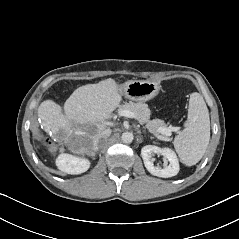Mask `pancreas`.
<instances>
[{
	"mask_svg": "<svg viewBox=\"0 0 239 239\" xmlns=\"http://www.w3.org/2000/svg\"><path fill=\"white\" fill-rule=\"evenodd\" d=\"M121 111L128 110L131 112H134L136 114V119L141 125H145V128L155 135L156 137L159 136L160 128H165L166 124L161 119H153L150 120L151 111L147 104L144 102H131V103H125L124 105H121L119 108Z\"/></svg>",
	"mask_w": 239,
	"mask_h": 239,
	"instance_id": "pancreas-1",
	"label": "pancreas"
}]
</instances>
